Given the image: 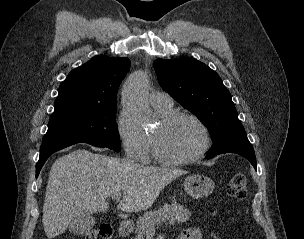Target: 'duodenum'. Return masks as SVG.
I'll return each mask as SVG.
<instances>
[{
  "label": "duodenum",
  "instance_id": "410a0bca",
  "mask_svg": "<svg viewBox=\"0 0 304 239\" xmlns=\"http://www.w3.org/2000/svg\"><path fill=\"white\" fill-rule=\"evenodd\" d=\"M132 226H133V223L130 220H125V221L121 222V224L119 225V228H118L119 236L124 237V236L128 235L132 229Z\"/></svg>",
  "mask_w": 304,
  "mask_h": 239
}]
</instances>
